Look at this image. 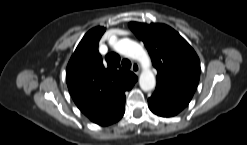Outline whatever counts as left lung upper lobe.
<instances>
[{
  "instance_id": "left-lung-upper-lobe-1",
  "label": "left lung upper lobe",
  "mask_w": 247,
  "mask_h": 145,
  "mask_svg": "<svg viewBox=\"0 0 247 145\" xmlns=\"http://www.w3.org/2000/svg\"><path fill=\"white\" fill-rule=\"evenodd\" d=\"M129 27L151 56L158 72L157 85L192 98L200 78V61L186 40L164 24L131 22Z\"/></svg>"
}]
</instances>
